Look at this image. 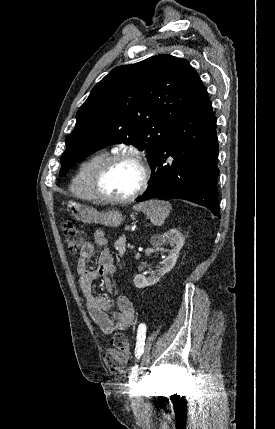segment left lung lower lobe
Returning <instances> with one entry per match:
<instances>
[{"mask_svg":"<svg viewBox=\"0 0 275 429\" xmlns=\"http://www.w3.org/2000/svg\"><path fill=\"white\" fill-rule=\"evenodd\" d=\"M216 117L200 78L191 100L151 162V181L136 201L178 198L203 205L220 217Z\"/></svg>","mask_w":275,"mask_h":429,"instance_id":"1","label":"left lung lower lobe"}]
</instances>
